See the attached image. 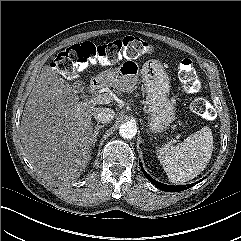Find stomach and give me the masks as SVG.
I'll return each mask as SVG.
<instances>
[{"mask_svg": "<svg viewBox=\"0 0 241 241\" xmlns=\"http://www.w3.org/2000/svg\"><path fill=\"white\" fill-rule=\"evenodd\" d=\"M105 76L118 89L131 87L141 76L147 93L149 127L152 132H161L174 121L175 109L168 99L169 77L157 61H146L141 69L136 62L125 61L117 70ZM105 76L101 78L107 79Z\"/></svg>", "mask_w": 241, "mask_h": 241, "instance_id": "0dacf381", "label": "stomach"}]
</instances>
